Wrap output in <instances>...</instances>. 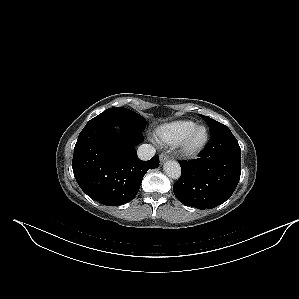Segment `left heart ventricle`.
I'll return each mask as SVG.
<instances>
[{
    "label": "left heart ventricle",
    "mask_w": 299,
    "mask_h": 299,
    "mask_svg": "<svg viewBox=\"0 0 299 299\" xmlns=\"http://www.w3.org/2000/svg\"><path fill=\"white\" fill-rule=\"evenodd\" d=\"M203 136H204V131H203V130H198V131L195 133L192 142H193L194 144H197L198 142H200V141L202 140Z\"/></svg>",
    "instance_id": "obj_1"
}]
</instances>
